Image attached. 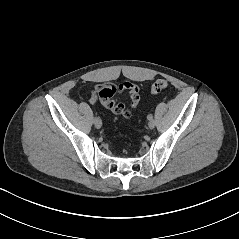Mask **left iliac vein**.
<instances>
[{
  "label": "left iliac vein",
  "mask_w": 239,
  "mask_h": 239,
  "mask_svg": "<svg viewBox=\"0 0 239 239\" xmlns=\"http://www.w3.org/2000/svg\"><path fill=\"white\" fill-rule=\"evenodd\" d=\"M155 121L152 119V120H150L149 121V123H148V127L150 128V129H153V128H155Z\"/></svg>",
  "instance_id": "left-iliac-vein-1"
}]
</instances>
